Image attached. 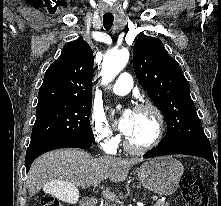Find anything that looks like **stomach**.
<instances>
[{"label": "stomach", "mask_w": 221, "mask_h": 206, "mask_svg": "<svg viewBox=\"0 0 221 206\" xmlns=\"http://www.w3.org/2000/svg\"><path fill=\"white\" fill-rule=\"evenodd\" d=\"M184 168L171 157H157L143 163L137 170L139 182L148 190L168 195L179 187Z\"/></svg>", "instance_id": "1"}]
</instances>
